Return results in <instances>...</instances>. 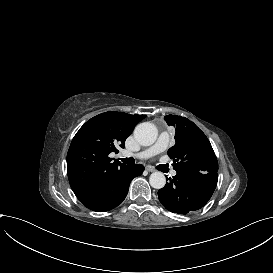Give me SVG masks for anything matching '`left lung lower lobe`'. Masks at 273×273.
<instances>
[{"mask_svg":"<svg viewBox=\"0 0 273 273\" xmlns=\"http://www.w3.org/2000/svg\"><path fill=\"white\" fill-rule=\"evenodd\" d=\"M169 180L158 191L161 204L173 213L187 214L208 202L216 188L218 174L177 171Z\"/></svg>","mask_w":273,"mask_h":273,"instance_id":"left-lung-lower-lobe-1","label":"left lung lower lobe"}]
</instances>
